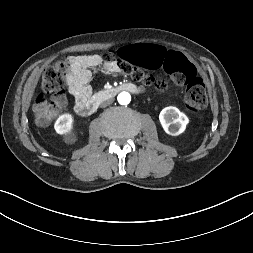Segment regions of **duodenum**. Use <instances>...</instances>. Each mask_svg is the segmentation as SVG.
Masks as SVG:
<instances>
[{
    "instance_id": "1",
    "label": "duodenum",
    "mask_w": 253,
    "mask_h": 253,
    "mask_svg": "<svg viewBox=\"0 0 253 253\" xmlns=\"http://www.w3.org/2000/svg\"><path fill=\"white\" fill-rule=\"evenodd\" d=\"M128 91L131 93H138L139 89L137 86L131 83H124L118 85L116 87H112L106 90H103L92 97H89L86 100L80 101L76 104L75 110L79 115L82 116H89L93 114L97 108L99 107L100 103L115 97L118 93Z\"/></svg>"
}]
</instances>
